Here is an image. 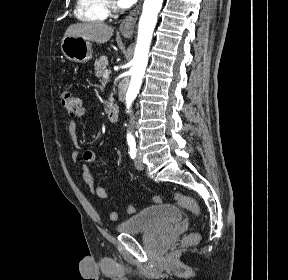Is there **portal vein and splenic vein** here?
I'll return each instance as SVG.
<instances>
[{"instance_id": "portal-vein-and-splenic-vein-1", "label": "portal vein and splenic vein", "mask_w": 288, "mask_h": 280, "mask_svg": "<svg viewBox=\"0 0 288 280\" xmlns=\"http://www.w3.org/2000/svg\"><path fill=\"white\" fill-rule=\"evenodd\" d=\"M109 74L110 72L108 70H106L103 74L104 79H108L109 78Z\"/></svg>"}]
</instances>
